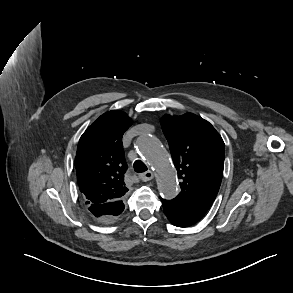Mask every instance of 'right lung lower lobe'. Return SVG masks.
<instances>
[{
  "mask_svg": "<svg viewBox=\"0 0 293 293\" xmlns=\"http://www.w3.org/2000/svg\"><path fill=\"white\" fill-rule=\"evenodd\" d=\"M88 207L90 214L93 217L98 218L103 223L112 222L124 210V204L122 201L92 204Z\"/></svg>",
  "mask_w": 293,
  "mask_h": 293,
  "instance_id": "right-lung-lower-lobe-1",
  "label": "right lung lower lobe"
}]
</instances>
